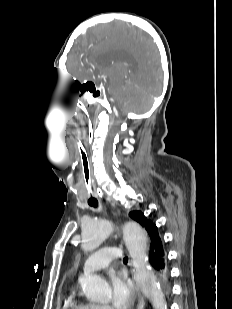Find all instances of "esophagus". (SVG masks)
<instances>
[{
    "label": "esophagus",
    "instance_id": "1",
    "mask_svg": "<svg viewBox=\"0 0 232 309\" xmlns=\"http://www.w3.org/2000/svg\"><path fill=\"white\" fill-rule=\"evenodd\" d=\"M143 307H144V299L141 295H139V302H138L137 309H143Z\"/></svg>",
    "mask_w": 232,
    "mask_h": 309
}]
</instances>
